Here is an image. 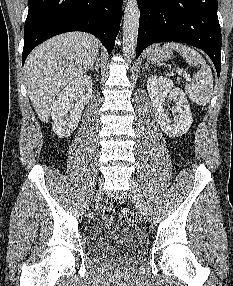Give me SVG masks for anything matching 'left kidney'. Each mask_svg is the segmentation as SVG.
I'll return each mask as SVG.
<instances>
[{
    "instance_id": "1",
    "label": "left kidney",
    "mask_w": 233,
    "mask_h": 286,
    "mask_svg": "<svg viewBox=\"0 0 233 286\" xmlns=\"http://www.w3.org/2000/svg\"><path fill=\"white\" fill-rule=\"evenodd\" d=\"M147 90L153 102L155 117L167 136L175 138L185 134L192 125L193 118L184 92L173 87V82L165 77L151 76L147 81ZM174 101L172 112L173 119L165 111L166 97Z\"/></svg>"
}]
</instances>
